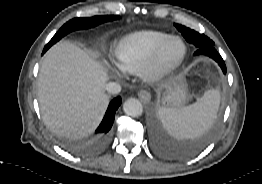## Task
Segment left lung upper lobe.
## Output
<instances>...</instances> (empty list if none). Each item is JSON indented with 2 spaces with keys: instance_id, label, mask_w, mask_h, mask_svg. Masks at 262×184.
I'll use <instances>...</instances> for the list:
<instances>
[{
  "instance_id": "obj_1",
  "label": "left lung upper lobe",
  "mask_w": 262,
  "mask_h": 184,
  "mask_svg": "<svg viewBox=\"0 0 262 184\" xmlns=\"http://www.w3.org/2000/svg\"><path fill=\"white\" fill-rule=\"evenodd\" d=\"M174 25L182 33L186 41L194 44L197 48L214 45V42L210 38L206 37L204 34H200L183 25H179V24H174Z\"/></svg>"
}]
</instances>
